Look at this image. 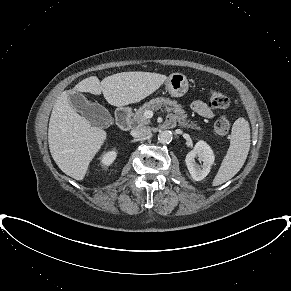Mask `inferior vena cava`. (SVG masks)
<instances>
[{"instance_id":"inferior-vena-cava-1","label":"inferior vena cava","mask_w":291,"mask_h":291,"mask_svg":"<svg viewBox=\"0 0 291 291\" xmlns=\"http://www.w3.org/2000/svg\"><path fill=\"white\" fill-rule=\"evenodd\" d=\"M151 134L152 129L149 126H141L133 130V136L137 138H146L151 136Z\"/></svg>"}]
</instances>
